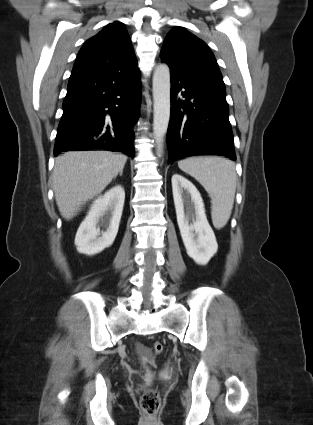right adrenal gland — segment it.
Returning a JSON list of instances; mask_svg holds the SVG:
<instances>
[{"instance_id":"1","label":"right adrenal gland","mask_w":313,"mask_h":425,"mask_svg":"<svg viewBox=\"0 0 313 425\" xmlns=\"http://www.w3.org/2000/svg\"><path fill=\"white\" fill-rule=\"evenodd\" d=\"M122 175H123V169H121L119 172V176H122ZM114 178H116V176Z\"/></svg>"}]
</instances>
